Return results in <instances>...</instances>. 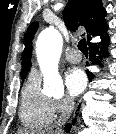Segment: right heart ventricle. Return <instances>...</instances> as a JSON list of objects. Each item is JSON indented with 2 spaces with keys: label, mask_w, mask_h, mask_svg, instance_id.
Listing matches in <instances>:
<instances>
[{
  "label": "right heart ventricle",
  "mask_w": 116,
  "mask_h": 134,
  "mask_svg": "<svg viewBox=\"0 0 116 134\" xmlns=\"http://www.w3.org/2000/svg\"><path fill=\"white\" fill-rule=\"evenodd\" d=\"M54 112L52 99L40 87V75L32 70L21 94L20 119L30 128H41L52 122Z\"/></svg>",
  "instance_id": "1"
}]
</instances>
